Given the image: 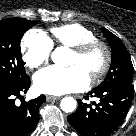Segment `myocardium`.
Instances as JSON below:
<instances>
[{"instance_id": "obj_1", "label": "myocardium", "mask_w": 136, "mask_h": 136, "mask_svg": "<svg viewBox=\"0 0 136 136\" xmlns=\"http://www.w3.org/2000/svg\"><path fill=\"white\" fill-rule=\"evenodd\" d=\"M95 48L102 49L104 53V60L101 66L90 75L89 80L91 83L99 81L110 69L112 63V51L109 45L102 40L92 39L72 47V52L78 56H84Z\"/></svg>"}]
</instances>
